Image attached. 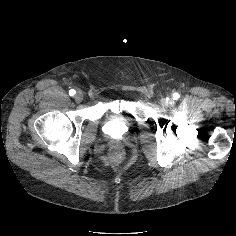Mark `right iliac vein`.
Instances as JSON below:
<instances>
[{"label":"right iliac vein","instance_id":"right-iliac-vein-1","mask_svg":"<svg viewBox=\"0 0 236 236\" xmlns=\"http://www.w3.org/2000/svg\"><path fill=\"white\" fill-rule=\"evenodd\" d=\"M74 98L77 103H80L83 100V93L81 91H78Z\"/></svg>","mask_w":236,"mask_h":236}]
</instances>
